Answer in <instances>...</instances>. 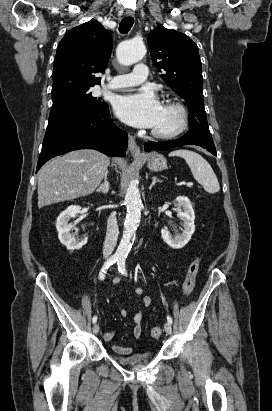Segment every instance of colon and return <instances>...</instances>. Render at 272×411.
<instances>
[{
	"mask_svg": "<svg viewBox=\"0 0 272 411\" xmlns=\"http://www.w3.org/2000/svg\"><path fill=\"white\" fill-rule=\"evenodd\" d=\"M202 260L200 258H197L193 260L187 270L183 285H182V292L185 296H188L192 293L195 283H196V278L201 266ZM150 335L152 338H159L162 335V328L161 327H153L151 329Z\"/></svg>",
	"mask_w": 272,
	"mask_h": 411,
	"instance_id": "5ec220e1",
	"label": "colon"
}]
</instances>
